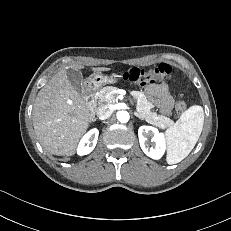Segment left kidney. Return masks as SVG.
<instances>
[{
    "label": "left kidney",
    "instance_id": "left-kidney-1",
    "mask_svg": "<svg viewBox=\"0 0 231 231\" xmlns=\"http://www.w3.org/2000/svg\"><path fill=\"white\" fill-rule=\"evenodd\" d=\"M140 147L152 159H160L166 150V137L152 126H141L138 129ZM149 138L154 146H150Z\"/></svg>",
    "mask_w": 231,
    "mask_h": 231
}]
</instances>
